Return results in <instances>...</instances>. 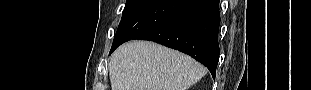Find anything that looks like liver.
<instances>
[{
    "label": "liver",
    "instance_id": "6515ba94",
    "mask_svg": "<svg viewBox=\"0 0 311 90\" xmlns=\"http://www.w3.org/2000/svg\"><path fill=\"white\" fill-rule=\"evenodd\" d=\"M206 73L193 58L148 41H130L109 62L112 90H187Z\"/></svg>",
    "mask_w": 311,
    "mask_h": 90
}]
</instances>
